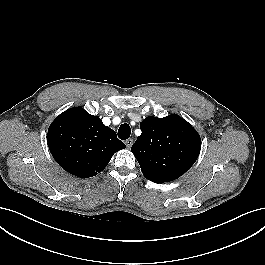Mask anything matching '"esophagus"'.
<instances>
[{"instance_id":"34e87169","label":"esophagus","mask_w":265,"mask_h":265,"mask_svg":"<svg viewBox=\"0 0 265 265\" xmlns=\"http://www.w3.org/2000/svg\"><path fill=\"white\" fill-rule=\"evenodd\" d=\"M125 144L127 146V148H131L132 144H133V139L132 138H129L125 141Z\"/></svg>"}]
</instances>
